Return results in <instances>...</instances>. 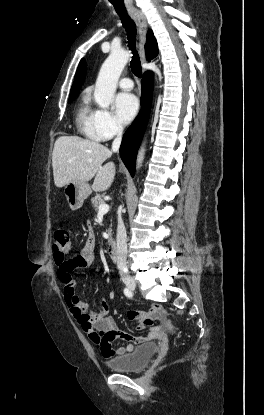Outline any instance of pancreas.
<instances>
[{"mask_svg": "<svg viewBox=\"0 0 264 415\" xmlns=\"http://www.w3.org/2000/svg\"><path fill=\"white\" fill-rule=\"evenodd\" d=\"M91 202H92V205H93V208H94V210L97 212L98 211V208H99V205H101V204H104L105 202H104V200H103V198H102V196L101 195H99V194H96L92 199H91Z\"/></svg>", "mask_w": 264, "mask_h": 415, "instance_id": "cf45deb5", "label": "pancreas"}]
</instances>
